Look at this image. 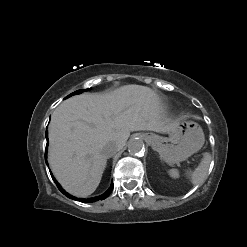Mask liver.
<instances>
[{
    "instance_id": "6515ba94",
    "label": "liver",
    "mask_w": 247,
    "mask_h": 247,
    "mask_svg": "<svg viewBox=\"0 0 247 247\" xmlns=\"http://www.w3.org/2000/svg\"><path fill=\"white\" fill-rule=\"evenodd\" d=\"M162 113L158 95L136 84L65 100L49 125L48 159L55 178L74 196L91 195L109 158L104 146L113 142L122 149L133 131L169 133L177 121L164 119Z\"/></svg>"
}]
</instances>
